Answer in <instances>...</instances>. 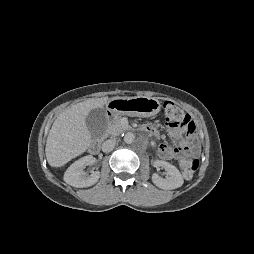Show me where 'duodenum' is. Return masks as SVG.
<instances>
[{"label":"duodenum","mask_w":254,"mask_h":254,"mask_svg":"<svg viewBox=\"0 0 254 254\" xmlns=\"http://www.w3.org/2000/svg\"><path fill=\"white\" fill-rule=\"evenodd\" d=\"M108 118H112L114 116V113L109 112ZM100 152V142L99 141H93V143L90 146V153L93 155H96Z\"/></svg>","instance_id":"1"}]
</instances>
